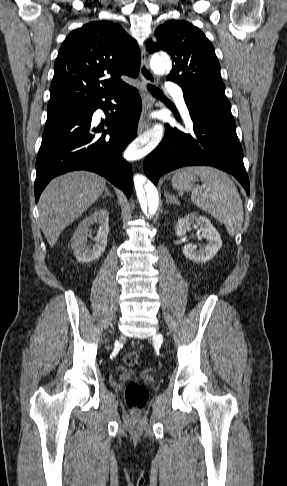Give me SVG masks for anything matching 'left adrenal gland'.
<instances>
[{
    "label": "left adrenal gland",
    "instance_id": "left-adrenal-gland-1",
    "mask_svg": "<svg viewBox=\"0 0 287 486\" xmlns=\"http://www.w3.org/2000/svg\"><path fill=\"white\" fill-rule=\"evenodd\" d=\"M165 200L168 204L180 205V201L174 195H171L169 192L165 193Z\"/></svg>",
    "mask_w": 287,
    "mask_h": 486
}]
</instances>
